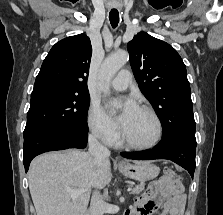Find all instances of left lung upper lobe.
I'll list each match as a JSON object with an SVG mask.
<instances>
[{
	"label": "left lung upper lobe",
	"mask_w": 223,
	"mask_h": 215,
	"mask_svg": "<svg viewBox=\"0 0 223 215\" xmlns=\"http://www.w3.org/2000/svg\"><path fill=\"white\" fill-rule=\"evenodd\" d=\"M127 48L139 88L161 121L162 137L195 134L190 84L177 51L145 32L135 35Z\"/></svg>",
	"instance_id": "1"
}]
</instances>
